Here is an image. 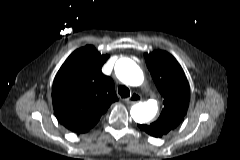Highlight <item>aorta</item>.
Returning <instances> with one entry per match:
<instances>
[{"label":"aorta","mask_w":240,"mask_h":160,"mask_svg":"<svg viewBox=\"0 0 240 160\" xmlns=\"http://www.w3.org/2000/svg\"><path fill=\"white\" fill-rule=\"evenodd\" d=\"M115 74L126 85L139 86L143 81V74L139 66L130 58H121L116 62ZM158 111L156 100L140 102L132 106L131 117L137 123H146L152 120Z\"/></svg>","instance_id":"762f6f07"}]
</instances>
